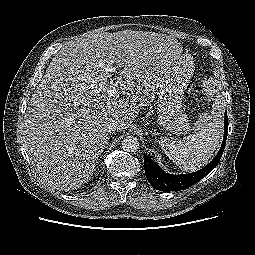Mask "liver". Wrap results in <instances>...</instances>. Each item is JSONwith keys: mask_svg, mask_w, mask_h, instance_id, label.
Returning <instances> with one entry per match:
<instances>
[{"mask_svg": "<svg viewBox=\"0 0 255 255\" xmlns=\"http://www.w3.org/2000/svg\"><path fill=\"white\" fill-rule=\"evenodd\" d=\"M182 52L177 39L147 31L91 32L68 42L32 94L23 124L24 147L42 180L67 191L90 180L107 123L126 130ZM113 64L117 75L100 67ZM113 88L123 98L110 97Z\"/></svg>", "mask_w": 255, "mask_h": 255, "instance_id": "obj_1", "label": "liver"}]
</instances>
